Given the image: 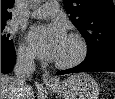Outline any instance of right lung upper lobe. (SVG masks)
I'll list each match as a JSON object with an SVG mask.
<instances>
[{
	"label": "right lung upper lobe",
	"mask_w": 115,
	"mask_h": 99,
	"mask_svg": "<svg viewBox=\"0 0 115 99\" xmlns=\"http://www.w3.org/2000/svg\"><path fill=\"white\" fill-rule=\"evenodd\" d=\"M15 0H1V23H6L8 19L12 18V13L8 9L13 7Z\"/></svg>",
	"instance_id": "obj_1"
}]
</instances>
